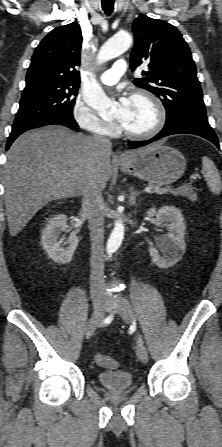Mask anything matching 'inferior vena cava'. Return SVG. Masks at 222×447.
<instances>
[{"mask_svg": "<svg viewBox=\"0 0 222 447\" xmlns=\"http://www.w3.org/2000/svg\"><path fill=\"white\" fill-rule=\"evenodd\" d=\"M94 139L103 149H111V142L103 136ZM104 185L96 180H90L83 191V201L88 207V227L91 238V293L103 297L102 283L104 272V200L102 190Z\"/></svg>", "mask_w": 222, "mask_h": 447, "instance_id": "1", "label": "inferior vena cava"}]
</instances>
